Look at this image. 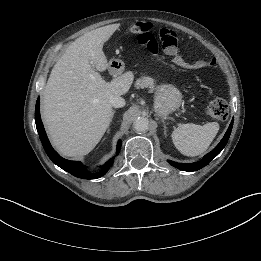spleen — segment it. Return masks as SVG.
I'll return each mask as SVG.
<instances>
[{
    "label": "spleen",
    "instance_id": "3e777b00",
    "mask_svg": "<svg viewBox=\"0 0 261 261\" xmlns=\"http://www.w3.org/2000/svg\"><path fill=\"white\" fill-rule=\"evenodd\" d=\"M219 124L209 122L205 125L182 124L172 132V140L182 154L198 156L203 154L217 135Z\"/></svg>",
    "mask_w": 261,
    "mask_h": 261
}]
</instances>
